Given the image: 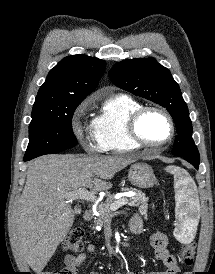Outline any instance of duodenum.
<instances>
[{"instance_id": "obj_1", "label": "duodenum", "mask_w": 215, "mask_h": 274, "mask_svg": "<svg viewBox=\"0 0 215 274\" xmlns=\"http://www.w3.org/2000/svg\"><path fill=\"white\" fill-rule=\"evenodd\" d=\"M92 217H93V210L92 209H86L85 211H84V213H83V219L85 220V221H89V220H91L92 219ZM134 234H137V233H139V231H137V230H131Z\"/></svg>"}]
</instances>
